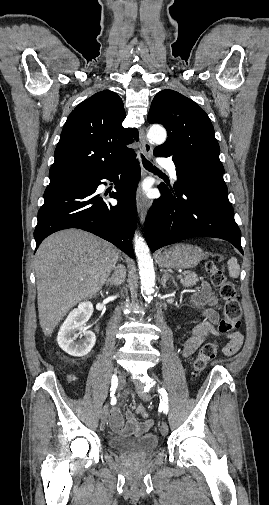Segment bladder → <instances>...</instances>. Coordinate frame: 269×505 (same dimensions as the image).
Listing matches in <instances>:
<instances>
[{
    "mask_svg": "<svg viewBox=\"0 0 269 505\" xmlns=\"http://www.w3.org/2000/svg\"><path fill=\"white\" fill-rule=\"evenodd\" d=\"M110 448L126 456H147L158 446V439L153 434H144L127 438L123 436H113L109 439Z\"/></svg>",
    "mask_w": 269,
    "mask_h": 505,
    "instance_id": "1",
    "label": "bladder"
}]
</instances>
